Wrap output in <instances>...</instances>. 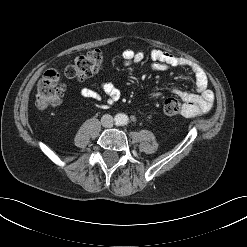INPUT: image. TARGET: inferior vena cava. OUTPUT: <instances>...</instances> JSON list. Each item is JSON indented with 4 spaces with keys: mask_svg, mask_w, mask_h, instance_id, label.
Instances as JSON below:
<instances>
[{
    "mask_svg": "<svg viewBox=\"0 0 247 247\" xmlns=\"http://www.w3.org/2000/svg\"><path fill=\"white\" fill-rule=\"evenodd\" d=\"M101 124L105 128H111L114 124V118L109 114H105L101 118Z\"/></svg>",
    "mask_w": 247,
    "mask_h": 247,
    "instance_id": "inferior-vena-cava-1",
    "label": "inferior vena cava"
}]
</instances>
